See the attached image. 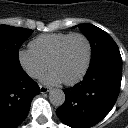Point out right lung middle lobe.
<instances>
[{"mask_svg": "<svg viewBox=\"0 0 128 128\" xmlns=\"http://www.w3.org/2000/svg\"><path fill=\"white\" fill-rule=\"evenodd\" d=\"M32 30L21 27L0 25V63L13 68H21L18 51Z\"/></svg>", "mask_w": 128, "mask_h": 128, "instance_id": "obj_1", "label": "right lung middle lobe"}]
</instances>
